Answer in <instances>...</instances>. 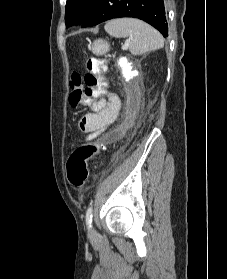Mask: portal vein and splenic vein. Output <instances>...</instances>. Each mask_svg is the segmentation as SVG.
Returning a JSON list of instances; mask_svg holds the SVG:
<instances>
[{
  "instance_id": "portal-vein-and-splenic-vein-1",
  "label": "portal vein and splenic vein",
  "mask_w": 227,
  "mask_h": 279,
  "mask_svg": "<svg viewBox=\"0 0 227 279\" xmlns=\"http://www.w3.org/2000/svg\"><path fill=\"white\" fill-rule=\"evenodd\" d=\"M128 46H129V41H126V42L124 43V45L122 46V49H123V50H127V49H128Z\"/></svg>"
}]
</instances>
